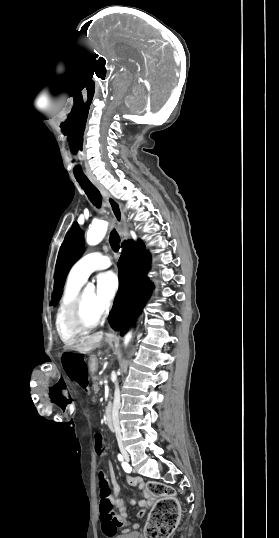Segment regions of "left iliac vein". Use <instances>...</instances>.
I'll return each instance as SVG.
<instances>
[{
    "label": "left iliac vein",
    "instance_id": "1",
    "mask_svg": "<svg viewBox=\"0 0 279 538\" xmlns=\"http://www.w3.org/2000/svg\"><path fill=\"white\" fill-rule=\"evenodd\" d=\"M125 459L128 461V457H125Z\"/></svg>",
    "mask_w": 279,
    "mask_h": 538
}]
</instances>
